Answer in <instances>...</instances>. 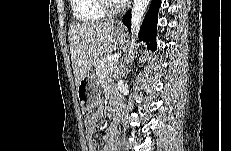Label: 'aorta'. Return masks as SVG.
<instances>
[{
  "label": "aorta",
  "instance_id": "1",
  "mask_svg": "<svg viewBox=\"0 0 231 151\" xmlns=\"http://www.w3.org/2000/svg\"><path fill=\"white\" fill-rule=\"evenodd\" d=\"M149 2L150 0H134L131 13L132 40L128 50L129 56L133 53L134 47L136 46L135 40L137 38L138 29Z\"/></svg>",
  "mask_w": 231,
  "mask_h": 151
}]
</instances>
